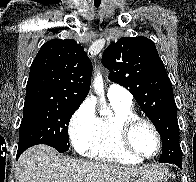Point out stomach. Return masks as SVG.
<instances>
[{
    "label": "stomach",
    "mask_w": 196,
    "mask_h": 182,
    "mask_svg": "<svg viewBox=\"0 0 196 182\" xmlns=\"http://www.w3.org/2000/svg\"><path fill=\"white\" fill-rule=\"evenodd\" d=\"M169 172L166 168L154 165L147 169H141L125 182H167Z\"/></svg>",
    "instance_id": "0dacf381"
}]
</instances>
